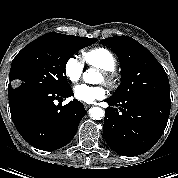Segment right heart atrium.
I'll list each match as a JSON object with an SVG mask.
<instances>
[{
	"instance_id": "obj_1",
	"label": "right heart atrium",
	"mask_w": 178,
	"mask_h": 178,
	"mask_svg": "<svg viewBox=\"0 0 178 178\" xmlns=\"http://www.w3.org/2000/svg\"><path fill=\"white\" fill-rule=\"evenodd\" d=\"M84 65L77 57H70L64 66V71L67 79L71 82H77L83 75Z\"/></svg>"
}]
</instances>
